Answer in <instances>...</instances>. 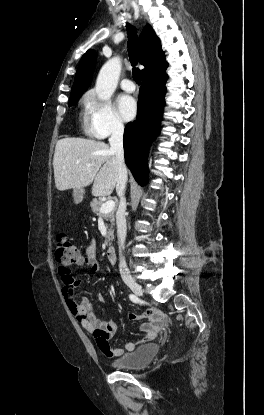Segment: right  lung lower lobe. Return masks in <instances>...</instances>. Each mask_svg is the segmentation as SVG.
Returning a JSON list of instances; mask_svg holds the SVG:
<instances>
[{
  "mask_svg": "<svg viewBox=\"0 0 264 415\" xmlns=\"http://www.w3.org/2000/svg\"><path fill=\"white\" fill-rule=\"evenodd\" d=\"M167 75L161 74L142 79L139 92L137 119L126 125L124 130V156L126 165L135 180L144 185L147 178V151L156 133L165 104Z\"/></svg>",
  "mask_w": 264,
  "mask_h": 415,
  "instance_id": "1",
  "label": "right lung lower lobe"
}]
</instances>
